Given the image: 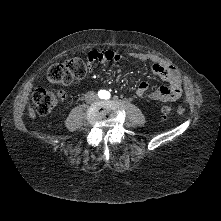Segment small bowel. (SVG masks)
Listing matches in <instances>:
<instances>
[{
	"instance_id": "1",
	"label": "small bowel",
	"mask_w": 221,
	"mask_h": 221,
	"mask_svg": "<svg viewBox=\"0 0 221 221\" xmlns=\"http://www.w3.org/2000/svg\"><path fill=\"white\" fill-rule=\"evenodd\" d=\"M129 56L141 62H150L152 72L168 83V86L150 90L146 82H141L136 89L137 96L155 101H174L181 96L182 79L172 64L150 53L131 52ZM123 58L122 54L113 50H92L88 53L87 64L91 71L96 63L118 62Z\"/></svg>"
}]
</instances>
